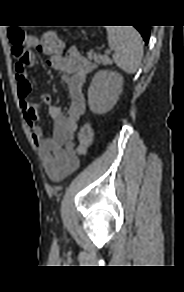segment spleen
Instances as JSON below:
<instances>
[{
  "instance_id": "1",
  "label": "spleen",
  "mask_w": 184,
  "mask_h": 292,
  "mask_svg": "<svg viewBox=\"0 0 184 292\" xmlns=\"http://www.w3.org/2000/svg\"><path fill=\"white\" fill-rule=\"evenodd\" d=\"M109 47L114 51L113 60L127 74H134L143 57V43L134 27H108Z\"/></svg>"
}]
</instances>
